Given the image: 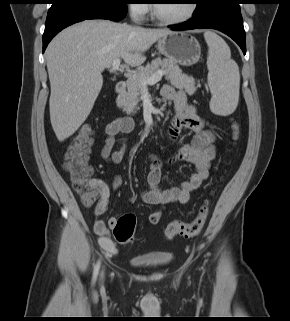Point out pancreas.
<instances>
[{"label":"pancreas","mask_w":290,"mask_h":321,"mask_svg":"<svg viewBox=\"0 0 290 321\" xmlns=\"http://www.w3.org/2000/svg\"><path fill=\"white\" fill-rule=\"evenodd\" d=\"M159 69L165 71L166 79L170 81L174 87L184 89L189 95L195 93L196 87L192 76L183 74L175 62L169 59L156 58L145 67L139 68L137 73L128 79L127 92L117 98V106L122 108L127 114L135 113L139 96L143 94L146 88V85H142L141 81L149 78Z\"/></svg>","instance_id":"pancreas-1"}]
</instances>
